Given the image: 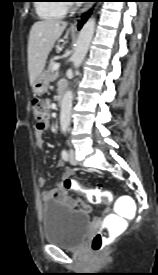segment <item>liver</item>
Here are the masks:
<instances>
[{
	"label": "liver",
	"mask_w": 158,
	"mask_h": 275,
	"mask_svg": "<svg viewBox=\"0 0 158 275\" xmlns=\"http://www.w3.org/2000/svg\"><path fill=\"white\" fill-rule=\"evenodd\" d=\"M66 26V22L50 19L37 21L32 25L28 39V71L31 85L43 71L50 51Z\"/></svg>",
	"instance_id": "1"
}]
</instances>
